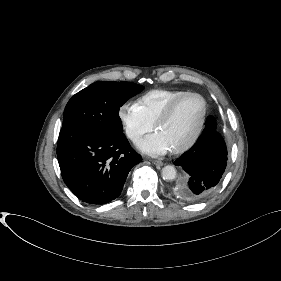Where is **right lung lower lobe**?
I'll return each mask as SVG.
<instances>
[{"mask_svg":"<svg viewBox=\"0 0 281 281\" xmlns=\"http://www.w3.org/2000/svg\"><path fill=\"white\" fill-rule=\"evenodd\" d=\"M57 157L65 184L90 204L117 198L129 171L142 160L122 132L70 138L58 144Z\"/></svg>","mask_w":281,"mask_h":281,"instance_id":"1","label":"right lung lower lobe"}]
</instances>
